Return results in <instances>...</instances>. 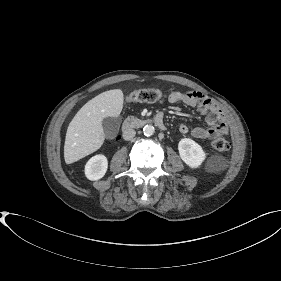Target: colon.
<instances>
[{
    "instance_id": "colon-1",
    "label": "colon",
    "mask_w": 281,
    "mask_h": 281,
    "mask_svg": "<svg viewBox=\"0 0 281 281\" xmlns=\"http://www.w3.org/2000/svg\"><path fill=\"white\" fill-rule=\"evenodd\" d=\"M162 93L158 89H141L128 94L127 102H155L161 99ZM211 147L215 151H227L230 148L229 142L224 138H215L211 141Z\"/></svg>"
}]
</instances>
